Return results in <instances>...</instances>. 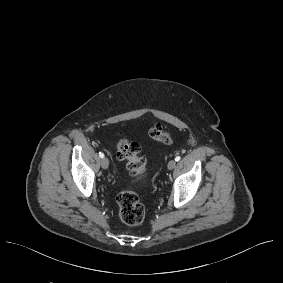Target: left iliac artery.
<instances>
[{
  "label": "left iliac artery",
  "mask_w": 283,
  "mask_h": 283,
  "mask_svg": "<svg viewBox=\"0 0 283 283\" xmlns=\"http://www.w3.org/2000/svg\"><path fill=\"white\" fill-rule=\"evenodd\" d=\"M180 159H181L180 156H176V157H175V161H177V162H178Z\"/></svg>",
  "instance_id": "left-iliac-artery-1"
}]
</instances>
